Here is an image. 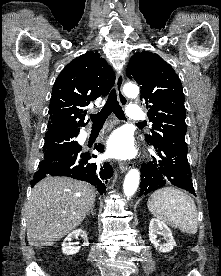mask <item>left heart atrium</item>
Here are the masks:
<instances>
[{
	"instance_id": "obj_1",
	"label": "left heart atrium",
	"mask_w": 221,
	"mask_h": 276,
	"mask_svg": "<svg viewBox=\"0 0 221 276\" xmlns=\"http://www.w3.org/2000/svg\"><path fill=\"white\" fill-rule=\"evenodd\" d=\"M107 154L116 158H129L134 154L131 137L123 132L116 131L107 142Z\"/></svg>"
}]
</instances>
